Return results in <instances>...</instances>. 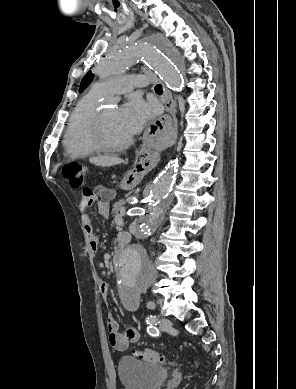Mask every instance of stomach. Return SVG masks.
I'll list each match as a JSON object with an SVG mask.
<instances>
[{"label": "stomach", "mask_w": 296, "mask_h": 389, "mask_svg": "<svg viewBox=\"0 0 296 389\" xmlns=\"http://www.w3.org/2000/svg\"><path fill=\"white\" fill-rule=\"evenodd\" d=\"M150 173L151 169L128 168L125 171V178L121 181L120 187L130 189L133 186H138Z\"/></svg>", "instance_id": "0dacf381"}]
</instances>
